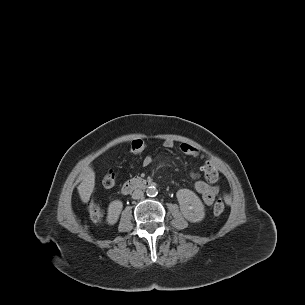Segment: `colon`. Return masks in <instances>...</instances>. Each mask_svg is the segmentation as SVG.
Wrapping results in <instances>:
<instances>
[{"mask_svg":"<svg viewBox=\"0 0 305 305\" xmlns=\"http://www.w3.org/2000/svg\"><path fill=\"white\" fill-rule=\"evenodd\" d=\"M147 148V143L144 139L138 138L134 139L130 142V152L134 155H140L142 154L145 149ZM116 177L115 174L110 171L107 173L103 180L102 185L104 188H112L115 185ZM225 205L221 198L217 199L213 206V214L214 215H220L224 211ZM88 213L92 221L94 222H100L103 218V210L102 208L96 204L91 203L88 208Z\"/></svg>","mask_w":305,"mask_h":305,"instance_id":"obj_1","label":"colon"}]
</instances>
